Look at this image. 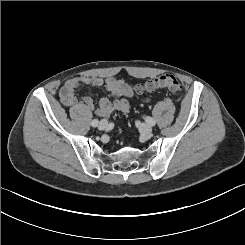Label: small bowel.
<instances>
[{"mask_svg":"<svg viewBox=\"0 0 245 245\" xmlns=\"http://www.w3.org/2000/svg\"><path fill=\"white\" fill-rule=\"evenodd\" d=\"M81 86L104 87L109 97L100 99L96 105L89 96H77V91ZM134 92L129 85L121 79L115 77L102 78L98 76H79L67 79L60 89V100L66 107L70 108L72 119L85 125L91 118L92 113L100 117H109L113 113L129 112ZM143 101H148L144 98Z\"/></svg>","mask_w":245,"mask_h":245,"instance_id":"obj_1","label":"small bowel"}]
</instances>
